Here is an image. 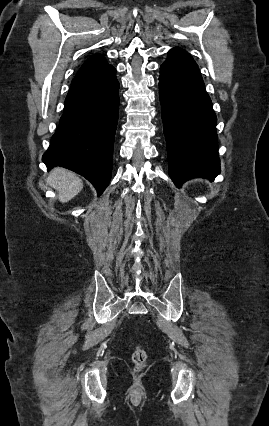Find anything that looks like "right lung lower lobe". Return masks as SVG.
Returning a JSON list of instances; mask_svg holds the SVG:
<instances>
[{
  "instance_id": "obj_1",
  "label": "right lung lower lobe",
  "mask_w": 269,
  "mask_h": 426,
  "mask_svg": "<svg viewBox=\"0 0 269 426\" xmlns=\"http://www.w3.org/2000/svg\"><path fill=\"white\" fill-rule=\"evenodd\" d=\"M119 82L112 65L76 75L43 162L89 180L100 196L110 182L118 122Z\"/></svg>"
}]
</instances>
